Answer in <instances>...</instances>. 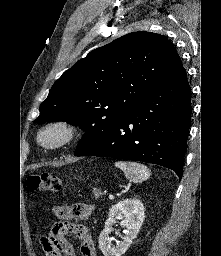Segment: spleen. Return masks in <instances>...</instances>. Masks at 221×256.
I'll return each instance as SVG.
<instances>
[{"label": "spleen", "instance_id": "spleen-1", "mask_svg": "<svg viewBox=\"0 0 221 256\" xmlns=\"http://www.w3.org/2000/svg\"><path fill=\"white\" fill-rule=\"evenodd\" d=\"M115 167L121 169L125 177L135 183H141L149 178V169L140 163L117 161Z\"/></svg>", "mask_w": 221, "mask_h": 256}]
</instances>
